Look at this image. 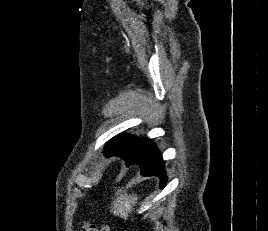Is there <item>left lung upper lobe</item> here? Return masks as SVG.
<instances>
[{"mask_svg":"<svg viewBox=\"0 0 268 231\" xmlns=\"http://www.w3.org/2000/svg\"><path fill=\"white\" fill-rule=\"evenodd\" d=\"M150 141L149 139H139L131 135L122 134L111 139L107 147L115 152L129 147L140 149Z\"/></svg>","mask_w":268,"mask_h":231,"instance_id":"5c2ea615","label":"left lung upper lobe"}]
</instances>
